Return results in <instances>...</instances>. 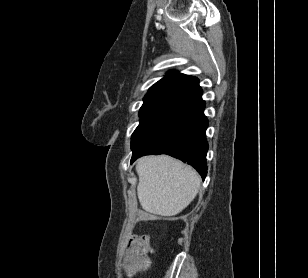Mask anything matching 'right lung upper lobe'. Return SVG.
Instances as JSON below:
<instances>
[{"label": "right lung upper lobe", "mask_w": 308, "mask_h": 278, "mask_svg": "<svg viewBox=\"0 0 308 278\" xmlns=\"http://www.w3.org/2000/svg\"><path fill=\"white\" fill-rule=\"evenodd\" d=\"M202 93L196 77L169 71L149 89L139 115L181 116L203 101Z\"/></svg>", "instance_id": "right-lung-upper-lobe-1"}]
</instances>
